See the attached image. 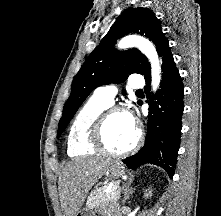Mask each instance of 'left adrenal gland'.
Listing matches in <instances>:
<instances>
[{"mask_svg":"<svg viewBox=\"0 0 221 216\" xmlns=\"http://www.w3.org/2000/svg\"><path fill=\"white\" fill-rule=\"evenodd\" d=\"M134 188H129V186L124 185L122 187V191H123V200H122V204L124 205L126 203V201L130 198V195H132V193L134 192Z\"/></svg>","mask_w":221,"mask_h":216,"instance_id":"obj_1","label":"left adrenal gland"}]
</instances>
